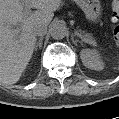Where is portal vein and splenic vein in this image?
<instances>
[{
    "label": "portal vein and splenic vein",
    "instance_id": "obj_1",
    "mask_svg": "<svg viewBox=\"0 0 119 119\" xmlns=\"http://www.w3.org/2000/svg\"><path fill=\"white\" fill-rule=\"evenodd\" d=\"M24 2L27 4V5H26V8H25V11H24V14H25V15H28V14L30 13V7L28 6L27 0H24ZM18 31H19V29L16 28V29H15V32H18ZM77 35H78L84 42L90 44V42H89L88 40H86L81 34L77 33Z\"/></svg>",
    "mask_w": 119,
    "mask_h": 119
}]
</instances>
